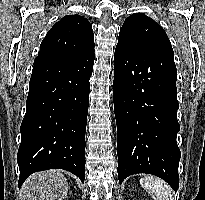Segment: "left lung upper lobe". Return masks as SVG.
Returning a JSON list of instances; mask_svg holds the SVG:
<instances>
[{
	"mask_svg": "<svg viewBox=\"0 0 205 200\" xmlns=\"http://www.w3.org/2000/svg\"><path fill=\"white\" fill-rule=\"evenodd\" d=\"M117 46L135 52L160 48L172 49L163 28L143 13L132 14L124 21Z\"/></svg>",
	"mask_w": 205,
	"mask_h": 200,
	"instance_id": "1",
	"label": "left lung upper lobe"
}]
</instances>
